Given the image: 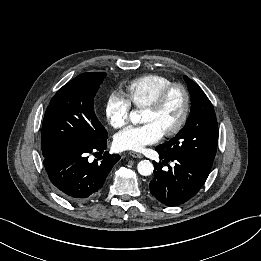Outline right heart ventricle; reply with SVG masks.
<instances>
[{
	"mask_svg": "<svg viewBox=\"0 0 261 261\" xmlns=\"http://www.w3.org/2000/svg\"><path fill=\"white\" fill-rule=\"evenodd\" d=\"M172 81L167 77L148 74L132 80L126 87V97L130 104L138 108H145L152 104L159 93Z\"/></svg>",
	"mask_w": 261,
	"mask_h": 261,
	"instance_id": "1",
	"label": "right heart ventricle"
}]
</instances>
